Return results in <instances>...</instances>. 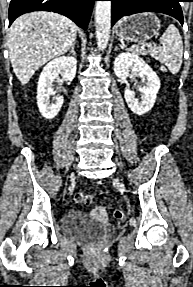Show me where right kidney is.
Segmentation results:
<instances>
[{
    "mask_svg": "<svg viewBox=\"0 0 193 287\" xmlns=\"http://www.w3.org/2000/svg\"><path fill=\"white\" fill-rule=\"evenodd\" d=\"M77 60L75 57L62 56L50 61L42 70L37 87V105L41 115L45 119H53L60 111L63 97L56 98L54 104H50V96L53 94V82L60 73L63 77L72 81L75 78Z\"/></svg>",
    "mask_w": 193,
    "mask_h": 287,
    "instance_id": "right-kidney-1",
    "label": "right kidney"
}]
</instances>
